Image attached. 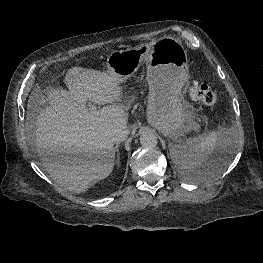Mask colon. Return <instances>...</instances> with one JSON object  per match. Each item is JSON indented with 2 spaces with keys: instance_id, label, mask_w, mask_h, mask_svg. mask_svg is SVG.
Listing matches in <instances>:
<instances>
[{
  "instance_id": "obj_1",
  "label": "colon",
  "mask_w": 263,
  "mask_h": 263,
  "mask_svg": "<svg viewBox=\"0 0 263 263\" xmlns=\"http://www.w3.org/2000/svg\"><path fill=\"white\" fill-rule=\"evenodd\" d=\"M190 97L199 103L212 106L217 102V95L211 87L204 83H196L189 90Z\"/></svg>"
}]
</instances>
